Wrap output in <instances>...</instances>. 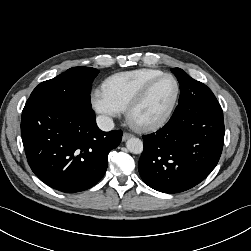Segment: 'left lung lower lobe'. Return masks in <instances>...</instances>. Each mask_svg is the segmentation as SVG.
<instances>
[{
  "label": "left lung lower lobe",
  "instance_id": "0a47b994",
  "mask_svg": "<svg viewBox=\"0 0 251 251\" xmlns=\"http://www.w3.org/2000/svg\"><path fill=\"white\" fill-rule=\"evenodd\" d=\"M223 111L204 84L180 92L168 123L144 135L139 160L142 180L164 193L186 191L203 181L217 165L224 143Z\"/></svg>",
  "mask_w": 251,
  "mask_h": 251
}]
</instances>
